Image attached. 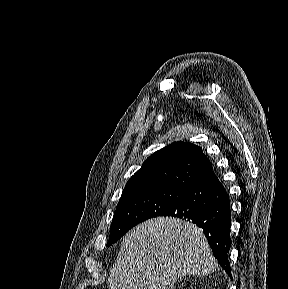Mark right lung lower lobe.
Wrapping results in <instances>:
<instances>
[{
	"label": "right lung lower lobe",
	"instance_id": "obj_1",
	"mask_svg": "<svg viewBox=\"0 0 288 289\" xmlns=\"http://www.w3.org/2000/svg\"><path fill=\"white\" fill-rule=\"evenodd\" d=\"M160 216L184 218L202 228L215 258L231 277V212L227 192L213 171L186 190L185 195Z\"/></svg>",
	"mask_w": 288,
	"mask_h": 289
}]
</instances>
